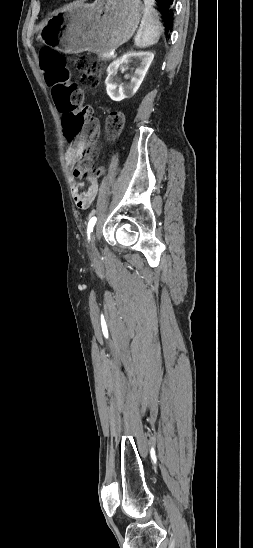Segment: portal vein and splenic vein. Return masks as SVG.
Here are the masks:
<instances>
[{
	"mask_svg": "<svg viewBox=\"0 0 253 548\" xmlns=\"http://www.w3.org/2000/svg\"><path fill=\"white\" fill-rule=\"evenodd\" d=\"M110 55L114 57L115 53H114V52H111Z\"/></svg>",
	"mask_w": 253,
	"mask_h": 548,
	"instance_id": "portal-vein-and-splenic-vein-1",
	"label": "portal vein and splenic vein"
}]
</instances>
